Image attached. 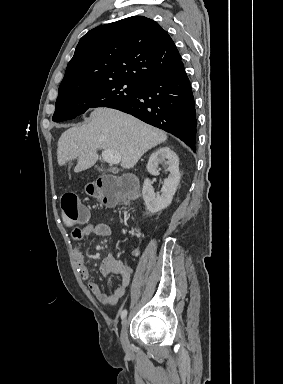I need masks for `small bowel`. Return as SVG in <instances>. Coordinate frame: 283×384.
<instances>
[{"label":"small bowel","instance_id":"1","mask_svg":"<svg viewBox=\"0 0 283 384\" xmlns=\"http://www.w3.org/2000/svg\"><path fill=\"white\" fill-rule=\"evenodd\" d=\"M90 235L106 237L111 235L110 227L105 223H88L83 227L77 228L72 233V238L76 243L74 248L75 261L82 277L87 280V286L95 298L104 305H115L126 293L131 281L133 270L123 261L110 254L106 256L100 265V272L103 276L119 275L120 285L111 294L104 293L99 285L90 280V271L85 263L84 255L78 244Z\"/></svg>","mask_w":283,"mask_h":384}]
</instances>
